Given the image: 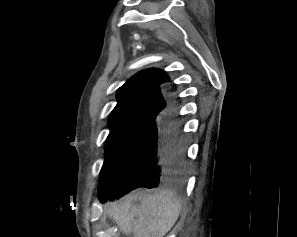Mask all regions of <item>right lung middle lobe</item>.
Here are the masks:
<instances>
[{
	"label": "right lung middle lobe",
	"mask_w": 297,
	"mask_h": 237,
	"mask_svg": "<svg viewBox=\"0 0 297 237\" xmlns=\"http://www.w3.org/2000/svg\"><path fill=\"white\" fill-rule=\"evenodd\" d=\"M151 121L149 118H134L109 124L110 133L106 139V158L100 172L99 191L118 185L128 156Z\"/></svg>",
	"instance_id": "right-lung-middle-lobe-1"
}]
</instances>
